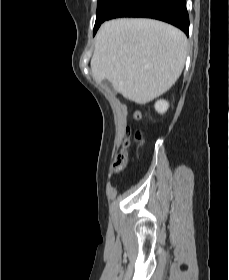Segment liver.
<instances>
[{"mask_svg":"<svg viewBox=\"0 0 229 280\" xmlns=\"http://www.w3.org/2000/svg\"><path fill=\"white\" fill-rule=\"evenodd\" d=\"M187 38L179 29L152 19H114L95 37L91 71L96 83L146 104L168 91L182 73Z\"/></svg>","mask_w":229,"mask_h":280,"instance_id":"liver-1","label":"liver"}]
</instances>
